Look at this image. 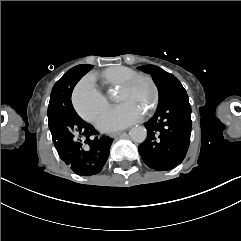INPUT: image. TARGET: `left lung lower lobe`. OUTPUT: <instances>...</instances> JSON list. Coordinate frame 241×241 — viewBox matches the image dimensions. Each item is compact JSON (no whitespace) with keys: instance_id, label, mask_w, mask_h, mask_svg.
I'll list each match as a JSON object with an SVG mask.
<instances>
[{"instance_id":"0a47b994","label":"left lung lower lobe","mask_w":241,"mask_h":241,"mask_svg":"<svg viewBox=\"0 0 241 241\" xmlns=\"http://www.w3.org/2000/svg\"><path fill=\"white\" fill-rule=\"evenodd\" d=\"M144 125L148 136L139 145V153L145 164L157 171L179 165L187 153L192 126L186 91L175 93L159 103L154 116Z\"/></svg>"}]
</instances>
